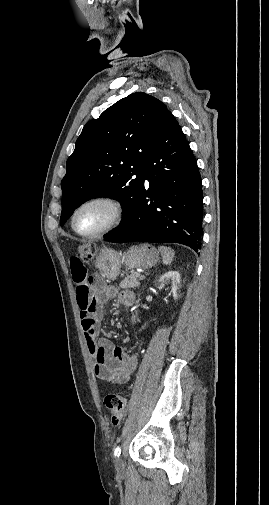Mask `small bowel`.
I'll use <instances>...</instances> for the list:
<instances>
[{"mask_svg": "<svg viewBox=\"0 0 269 505\" xmlns=\"http://www.w3.org/2000/svg\"><path fill=\"white\" fill-rule=\"evenodd\" d=\"M83 265L81 259H71L69 262L72 275L74 273L81 325L94 360L95 374L105 382L125 384L136 369L138 356H130L123 348L116 347L108 339L98 337L100 322L104 316L102 303L113 295L114 290L106 286L101 277L94 276L90 283L98 294L91 295L88 290L87 271ZM118 300L125 306H131L134 296L130 291H122L118 295Z\"/></svg>", "mask_w": 269, "mask_h": 505, "instance_id": "c3829d8e", "label": "small bowel"}]
</instances>
